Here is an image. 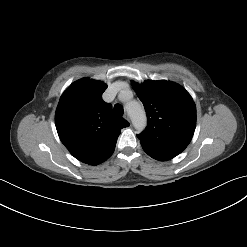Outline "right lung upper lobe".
Instances as JSON below:
<instances>
[{
  "instance_id": "right-lung-upper-lobe-1",
  "label": "right lung upper lobe",
  "mask_w": 247,
  "mask_h": 247,
  "mask_svg": "<svg viewBox=\"0 0 247 247\" xmlns=\"http://www.w3.org/2000/svg\"><path fill=\"white\" fill-rule=\"evenodd\" d=\"M106 89L104 82L88 78L73 83L61 96L55 115L64 146L79 161L93 166L111 156L121 129L129 126L102 100Z\"/></svg>"
}]
</instances>
